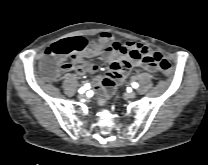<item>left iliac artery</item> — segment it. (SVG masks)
<instances>
[{
  "mask_svg": "<svg viewBox=\"0 0 208 165\" xmlns=\"http://www.w3.org/2000/svg\"><path fill=\"white\" fill-rule=\"evenodd\" d=\"M132 86H133V88H137L139 85H138V83L134 82V83H132Z\"/></svg>",
  "mask_w": 208,
  "mask_h": 165,
  "instance_id": "44dca946",
  "label": "left iliac artery"
}]
</instances>
